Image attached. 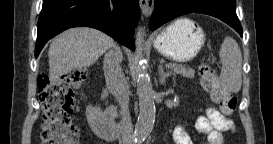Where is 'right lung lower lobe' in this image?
I'll use <instances>...</instances> for the list:
<instances>
[{"mask_svg": "<svg viewBox=\"0 0 273 144\" xmlns=\"http://www.w3.org/2000/svg\"><path fill=\"white\" fill-rule=\"evenodd\" d=\"M138 19V0H43L35 57L49 39L77 26L99 29L134 50Z\"/></svg>", "mask_w": 273, "mask_h": 144, "instance_id": "right-lung-lower-lobe-1", "label": "right lung lower lobe"}]
</instances>
